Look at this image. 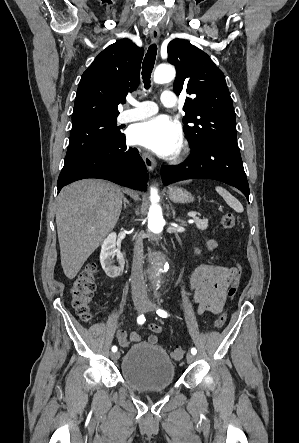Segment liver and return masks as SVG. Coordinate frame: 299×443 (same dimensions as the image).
<instances>
[{"label": "liver", "instance_id": "liver-1", "mask_svg": "<svg viewBox=\"0 0 299 443\" xmlns=\"http://www.w3.org/2000/svg\"><path fill=\"white\" fill-rule=\"evenodd\" d=\"M121 189L110 182L85 179L64 187L56 201L61 265L68 279L115 227L122 209Z\"/></svg>", "mask_w": 299, "mask_h": 443}]
</instances>
